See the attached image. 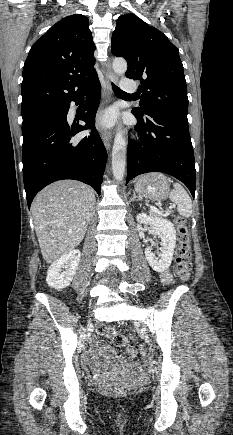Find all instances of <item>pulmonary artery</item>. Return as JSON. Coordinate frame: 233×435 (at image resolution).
Returning <instances> with one entry per match:
<instances>
[{
  "mask_svg": "<svg viewBox=\"0 0 233 435\" xmlns=\"http://www.w3.org/2000/svg\"><path fill=\"white\" fill-rule=\"evenodd\" d=\"M122 91L127 95H134L137 92V87L133 85V79L129 77L122 79Z\"/></svg>",
  "mask_w": 233,
  "mask_h": 435,
  "instance_id": "obj_1",
  "label": "pulmonary artery"
}]
</instances>
